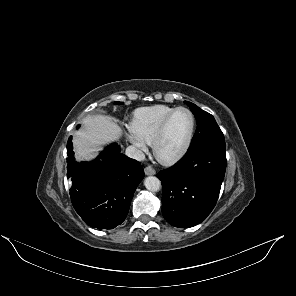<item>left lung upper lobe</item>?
<instances>
[{"label": "left lung upper lobe", "instance_id": "1", "mask_svg": "<svg viewBox=\"0 0 296 296\" xmlns=\"http://www.w3.org/2000/svg\"><path fill=\"white\" fill-rule=\"evenodd\" d=\"M185 103L190 107L197 120V130L188 150H193L211 142L225 140L221 129L211 114L191 102L185 101Z\"/></svg>", "mask_w": 296, "mask_h": 296}]
</instances>
